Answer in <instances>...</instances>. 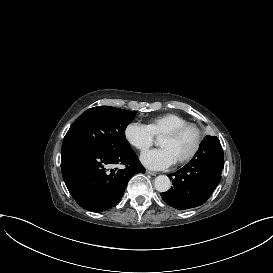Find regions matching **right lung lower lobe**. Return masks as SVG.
I'll use <instances>...</instances> for the list:
<instances>
[{"mask_svg":"<svg viewBox=\"0 0 273 273\" xmlns=\"http://www.w3.org/2000/svg\"><path fill=\"white\" fill-rule=\"evenodd\" d=\"M124 164V169L106 167ZM62 176L72 197L84 209L102 212L115 206L129 179L144 173L132 149L125 152L80 147L61 153Z\"/></svg>","mask_w":273,"mask_h":273,"instance_id":"obj_1","label":"right lung lower lobe"}]
</instances>
